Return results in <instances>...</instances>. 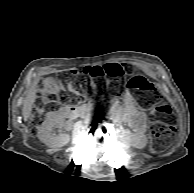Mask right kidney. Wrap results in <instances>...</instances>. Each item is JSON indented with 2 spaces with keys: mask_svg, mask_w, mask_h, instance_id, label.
Returning a JSON list of instances; mask_svg holds the SVG:
<instances>
[{
  "mask_svg": "<svg viewBox=\"0 0 194 193\" xmlns=\"http://www.w3.org/2000/svg\"><path fill=\"white\" fill-rule=\"evenodd\" d=\"M61 124L62 118L56 113H51L38 131L40 141L50 148L62 147L68 144L70 140L69 134L61 133L57 135L54 131V128L59 127Z\"/></svg>",
  "mask_w": 194,
  "mask_h": 193,
  "instance_id": "1",
  "label": "right kidney"
}]
</instances>
